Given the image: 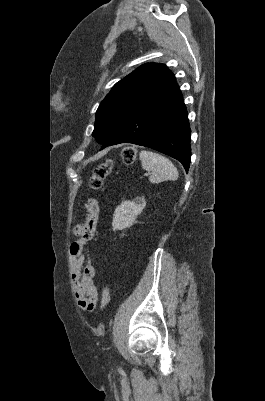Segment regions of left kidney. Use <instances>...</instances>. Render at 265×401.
Segmentation results:
<instances>
[{
    "label": "left kidney",
    "mask_w": 265,
    "mask_h": 401,
    "mask_svg": "<svg viewBox=\"0 0 265 401\" xmlns=\"http://www.w3.org/2000/svg\"><path fill=\"white\" fill-rule=\"evenodd\" d=\"M146 201L144 196H136L133 201H123L117 209L114 211L113 215V231H123V229H128L133 225L137 215L142 213Z\"/></svg>",
    "instance_id": "obj_1"
}]
</instances>
